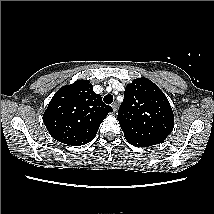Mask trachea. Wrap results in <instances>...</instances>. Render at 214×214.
Segmentation results:
<instances>
[{
    "label": "trachea",
    "mask_w": 214,
    "mask_h": 214,
    "mask_svg": "<svg viewBox=\"0 0 214 214\" xmlns=\"http://www.w3.org/2000/svg\"><path fill=\"white\" fill-rule=\"evenodd\" d=\"M103 100L106 104H111L113 102V96L111 94L105 95Z\"/></svg>",
    "instance_id": "trachea-1"
}]
</instances>
